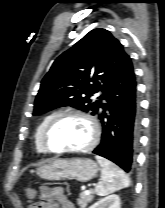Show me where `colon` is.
I'll return each mask as SVG.
<instances>
[{
  "mask_svg": "<svg viewBox=\"0 0 165 208\" xmlns=\"http://www.w3.org/2000/svg\"><path fill=\"white\" fill-rule=\"evenodd\" d=\"M25 195L28 203L33 204L37 198V192L34 188H26Z\"/></svg>",
  "mask_w": 165,
  "mask_h": 208,
  "instance_id": "1",
  "label": "colon"
}]
</instances>
